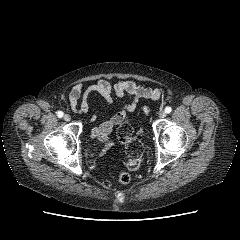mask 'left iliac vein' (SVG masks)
Segmentation results:
<instances>
[{"label": "left iliac vein", "instance_id": "obj_1", "mask_svg": "<svg viewBox=\"0 0 240 240\" xmlns=\"http://www.w3.org/2000/svg\"><path fill=\"white\" fill-rule=\"evenodd\" d=\"M159 117L160 118H165L166 117V112L164 110L159 111Z\"/></svg>", "mask_w": 240, "mask_h": 240}]
</instances>
